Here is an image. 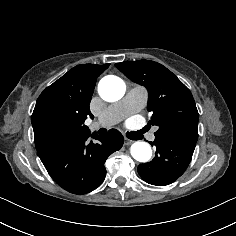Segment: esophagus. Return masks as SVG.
<instances>
[{
    "instance_id": "obj_1",
    "label": "esophagus",
    "mask_w": 236,
    "mask_h": 236,
    "mask_svg": "<svg viewBox=\"0 0 236 236\" xmlns=\"http://www.w3.org/2000/svg\"><path fill=\"white\" fill-rule=\"evenodd\" d=\"M132 143H133L132 140H129V139L125 138V145H130Z\"/></svg>"
}]
</instances>
